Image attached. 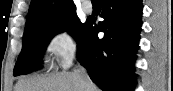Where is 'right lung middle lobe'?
I'll return each instance as SVG.
<instances>
[{"instance_id": "right-lung-middle-lobe-1", "label": "right lung middle lobe", "mask_w": 173, "mask_h": 91, "mask_svg": "<svg viewBox=\"0 0 173 91\" xmlns=\"http://www.w3.org/2000/svg\"><path fill=\"white\" fill-rule=\"evenodd\" d=\"M87 25L88 21L82 23L78 16L74 14L57 22L25 29L22 51L14 67V76L28 74L39 68L42 54L56 34L67 31L79 42Z\"/></svg>"}]
</instances>
